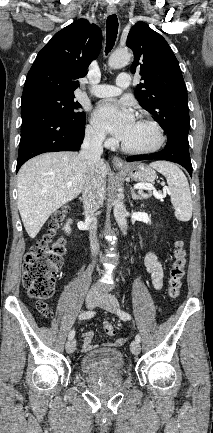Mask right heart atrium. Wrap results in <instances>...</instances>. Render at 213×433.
Returning a JSON list of instances; mask_svg holds the SVG:
<instances>
[{
    "mask_svg": "<svg viewBox=\"0 0 213 433\" xmlns=\"http://www.w3.org/2000/svg\"><path fill=\"white\" fill-rule=\"evenodd\" d=\"M86 136L89 140H91L92 142L95 143H109L110 141L106 138L105 133L93 126V125H89L86 128Z\"/></svg>",
    "mask_w": 213,
    "mask_h": 433,
    "instance_id": "right-heart-atrium-1",
    "label": "right heart atrium"
}]
</instances>
